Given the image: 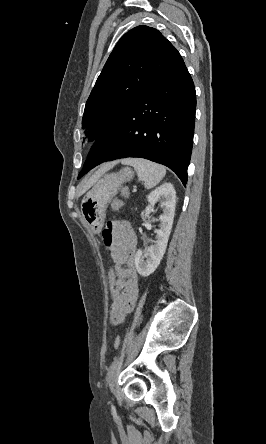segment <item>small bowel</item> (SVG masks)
<instances>
[{
	"label": "small bowel",
	"mask_w": 266,
	"mask_h": 444,
	"mask_svg": "<svg viewBox=\"0 0 266 444\" xmlns=\"http://www.w3.org/2000/svg\"><path fill=\"white\" fill-rule=\"evenodd\" d=\"M102 238L118 276L110 309V322L117 326L134 309L138 298V275L134 266L137 239L130 224L122 220L109 222Z\"/></svg>",
	"instance_id": "1"
}]
</instances>
